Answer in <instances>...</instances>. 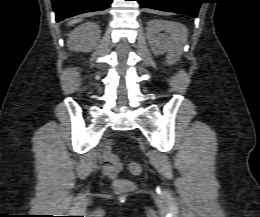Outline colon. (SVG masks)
Here are the masks:
<instances>
[{"mask_svg": "<svg viewBox=\"0 0 260 217\" xmlns=\"http://www.w3.org/2000/svg\"><path fill=\"white\" fill-rule=\"evenodd\" d=\"M128 169H129V172L134 175L140 174V172H141L140 164L137 162H133V161L129 162ZM113 186L118 191H126L130 188L129 182L126 179H122V178L116 179L113 182Z\"/></svg>", "mask_w": 260, "mask_h": 217, "instance_id": "1", "label": "colon"}]
</instances>
